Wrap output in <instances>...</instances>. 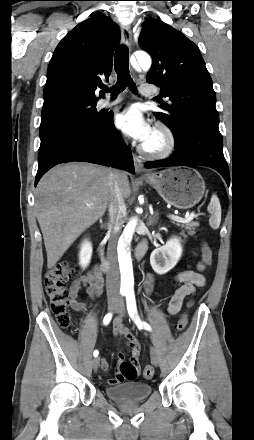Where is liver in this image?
<instances>
[{
  "label": "liver",
  "instance_id": "6515ba94",
  "mask_svg": "<svg viewBox=\"0 0 254 440\" xmlns=\"http://www.w3.org/2000/svg\"><path fill=\"white\" fill-rule=\"evenodd\" d=\"M111 170L89 163H67L49 170L36 188V217L51 269L72 243L101 218L110 197ZM123 197L131 191L127 174L118 171ZM91 204L92 206H87Z\"/></svg>",
  "mask_w": 254,
  "mask_h": 440
}]
</instances>
